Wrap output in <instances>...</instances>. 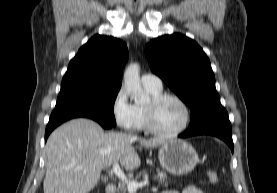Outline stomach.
I'll return each mask as SVG.
<instances>
[{
  "label": "stomach",
  "mask_w": 277,
  "mask_h": 193,
  "mask_svg": "<svg viewBox=\"0 0 277 193\" xmlns=\"http://www.w3.org/2000/svg\"><path fill=\"white\" fill-rule=\"evenodd\" d=\"M158 159L166 171L178 176L191 172L199 160L196 150L180 139L165 141L160 146Z\"/></svg>",
  "instance_id": "stomach-1"
}]
</instances>
